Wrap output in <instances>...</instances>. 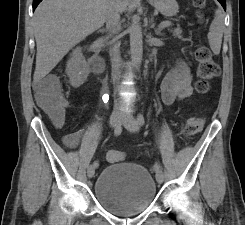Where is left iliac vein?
Returning <instances> with one entry per match:
<instances>
[{"label":"left iliac vein","instance_id":"4c4485c4","mask_svg":"<svg viewBox=\"0 0 245 225\" xmlns=\"http://www.w3.org/2000/svg\"><path fill=\"white\" fill-rule=\"evenodd\" d=\"M122 124L130 132H137L140 128L138 121L132 115L124 116L122 118ZM156 180L158 183L163 182L164 175L162 172L156 174Z\"/></svg>","mask_w":245,"mask_h":225}]
</instances>
